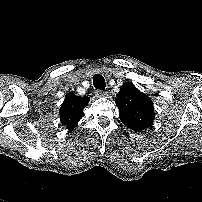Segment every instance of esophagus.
Listing matches in <instances>:
<instances>
[{
    "label": "esophagus",
    "mask_w": 202,
    "mask_h": 202,
    "mask_svg": "<svg viewBox=\"0 0 202 202\" xmlns=\"http://www.w3.org/2000/svg\"><path fill=\"white\" fill-rule=\"evenodd\" d=\"M107 95H108V94H107L106 92L102 91V90H96V91H95V96L98 97V98H100V97H105V96H107Z\"/></svg>",
    "instance_id": "obj_1"
}]
</instances>
